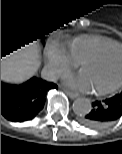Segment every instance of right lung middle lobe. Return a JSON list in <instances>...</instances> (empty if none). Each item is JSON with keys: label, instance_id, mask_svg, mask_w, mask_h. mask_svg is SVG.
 Masks as SVG:
<instances>
[{"label": "right lung middle lobe", "instance_id": "obj_1", "mask_svg": "<svg viewBox=\"0 0 122 154\" xmlns=\"http://www.w3.org/2000/svg\"><path fill=\"white\" fill-rule=\"evenodd\" d=\"M46 28V25L33 20L18 19L10 22L6 30L2 29L1 34L9 30L24 31L29 35H33L35 38L34 40L42 42L45 35L49 33Z\"/></svg>", "mask_w": 122, "mask_h": 154}]
</instances>
